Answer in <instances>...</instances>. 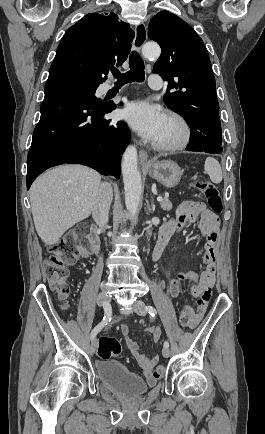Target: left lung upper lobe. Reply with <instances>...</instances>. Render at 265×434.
I'll list each match as a JSON object with an SVG mask.
<instances>
[{"label": "left lung upper lobe", "instance_id": "left-lung-upper-lobe-1", "mask_svg": "<svg viewBox=\"0 0 265 434\" xmlns=\"http://www.w3.org/2000/svg\"><path fill=\"white\" fill-rule=\"evenodd\" d=\"M148 37L162 50L153 72L169 82L167 107L185 118L191 133L222 138L215 77L202 39L168 11L150 20ZM171 89L176 91L169 93Z\"/></svg>", "mask_w": 265, "mask_h": 434}]
</instances>
